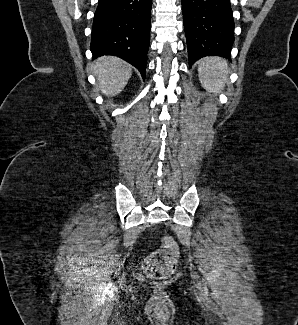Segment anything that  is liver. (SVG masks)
<instances>
[{
	"instance_id": "liver-1",
	"label": "liver",
	"mask_w": 298,
	"mask_h": 325,
	"mask_svg": "<svg viewBox=\"0 0 298 325\" xmlns=\"http://www.w3.org/2000/svg\"><path fill=\"white\" fill-rule=\"evenodd\" d=\"M93 72L103 94L116 96L126 86L132 68L128 62L117 56H100L94 62Z\"/></svg>"
}]
</instances>
